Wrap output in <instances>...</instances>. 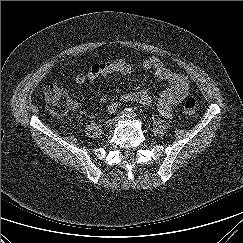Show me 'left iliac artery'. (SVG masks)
Returning a JSON list of instances; mask_svg holds the SVG:
<instances>
[{
    "instance_id": "44dca946",
    "label": "left iliac artery",
    "mask_w": 243,
    "mask_h": 243,
    "mask_svg": "<svg viewBox=\"0 0 243 243\" xmlns=\"http://www.w3.org/2000/svg\"><path fill=\"white\" fill-rule=\"evenodd\" d=\"M128 117L131 118V119H135L136 113L133 110L129 109Z\"/></svg>"
}]
</instances>
